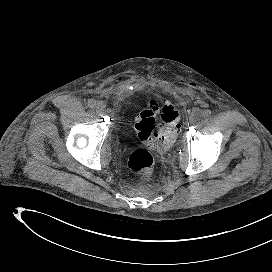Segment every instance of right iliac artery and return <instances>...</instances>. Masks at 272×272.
I'll return each instance as SVG.
<instances>
[{
  "label": "right iliac artery",
  "mask_w": 272,
  "mask_h": 272,
  "mask_svg": "<svg viewBox=\"0 0 272 272\" xmlns=\"http://www.w3.org/2000/svg\"><path fill=\"white\" fill-rule=\"evenodd\" d=\"M88 106H89L90 108H94V107L96 106V100H94V99H89V100H88Z\"/></svg>",
  "instance_id": "obj_1"
}]
</instances>
